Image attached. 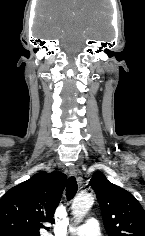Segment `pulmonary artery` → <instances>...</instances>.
Segmentation results:
<instances>
[{"mask_svg":"<svg viewBox=\"0 0 145 236\" xmlns=\"http://www.w3.org/2000/svg\"><path fill=\"white\" fill-rule=\"evenodd\" d=\"M77 236H100L99 223L96 219H89L84 225L69 230Z\"/></svg>","mask_w":145,"mask_h":236,"instance_id":"e3ab8cb5","label":"pulmonary artery"}]
</instances>
